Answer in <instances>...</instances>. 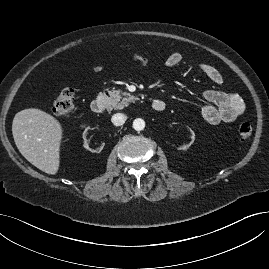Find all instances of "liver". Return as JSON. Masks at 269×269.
Masks as SVG:
<instances>
[{"mask_svg": "<svg viewBox=\"0 0 269 269\" xmlns=\"http://www.w3.org/2000/svg\"><path fill=\"white\" fill-rule=\"evenodd\" d=\"M12 134L31 164L47 174L58 172L63 128L55 117L38 108L21 110L13 119Z\"/></svg>", "mask_w": 269, "mask_h": 269, "instance_id": "1", "label": "liver"}]
</instances>
